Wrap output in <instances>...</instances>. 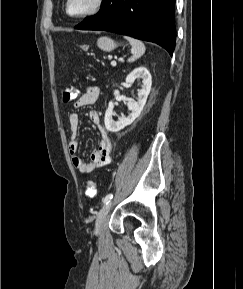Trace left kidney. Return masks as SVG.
<instances>
[{
    "mask_svg": "<svg viewBox=\"0 0 243 289\" xmlns=\"http://www.w3.org/2000/svg\"><path fill=\"white\" fill-rule=\"evenodd\" d=\"M136 79H142L143 84L142 88L138 91V100H131L127 103V107L131 111L127 117H122L119 121H114L112 119L114 103L112 101L109 102L104 118L105 127L108 131L118 132L133 123L134 120L140 116L151 90L152 77L145 67H138L126 77V84L131 86ZM114 95L118 96L119 91L115 90Z\"/></svg>",
    "mask_w": 243,
    "mask_h": 289,
    "instance_id": "obj_1",
    "label": "left kidney"
}]
</instances>
